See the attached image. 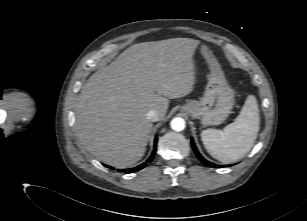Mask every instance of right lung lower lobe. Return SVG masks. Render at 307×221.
<instances>
[{"label": "right lung lower lobe", "mask_w": 307, "mask_h": 221, "mask_svg": "<svg viewBox=\"0 0 307 221\" xmlns=\"http://www.w3.org/2000/svg\"><path fill=\"white\" fill-rule=\"evenodd\" d=\"M156 142H157V139H155V144H154V150L152 152V155L149 157V159L147 160V162H151L154 155H155V152H156ZM107 166V165H105ZM146 166V163H143L137 167H134V168H130V169H119L118 171L119 172H124V173H132V172H136V171H139L141 169H143L144 167ZM108 168L110 169H114L113 167H110V166H107Z\"/></svg>", "instance_id": "98d812e1"}]
</instances>
